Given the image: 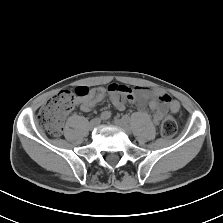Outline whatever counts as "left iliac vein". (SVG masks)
Listing matches in <instances>:
<instances>
[{"mask_svg":"<svg viewBox=\"0 0 223 223\" xmlns=\"http://www.w3.org/2000/svg\"><path fill=\"white\" fill-rule=\"evenodd\" d=\"M114 124L120 129L124 130L127 134H130L131 128L124 119H115Z\"/></svg>","mask_w":223,"mask_h":223,"instance_id":"left-iliac-vein-1","label":"left iliac vein"}]
</instances>
